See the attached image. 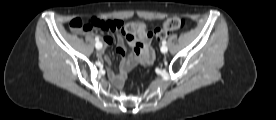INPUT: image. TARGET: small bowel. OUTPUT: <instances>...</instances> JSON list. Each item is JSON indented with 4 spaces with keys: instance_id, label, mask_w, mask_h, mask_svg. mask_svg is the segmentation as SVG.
Masks as SVG:
<instances>
[{
    "instance_id": "c3829d8e",
    "label": "small bowel",
    "mask_w": 276,
    "mask_h": 120,
    "mask_svg": "<svg viewBox=\"0 0 276 120\" xmlns=\"http://www.w3.org/2000/svg\"><path fill=\"white\" fill-rule=\"evenodd\" d=\"M110 27L105 31L107 34L103 37V42L105 45H111L114 41L112 34L120 32V27L123 24L118 20H107ZM127 42L133 49V53L127 57V51L124 41L121 37L117 40V53L122 57L119 73L117 75H112V80L115 83H119L122 78L131 70L137 63L150 64L154 58V50L151 44V39L149 36L143 39H128ZM100 57L106 59L103 52H101Z\"/></svg>"
}]
</instances>
